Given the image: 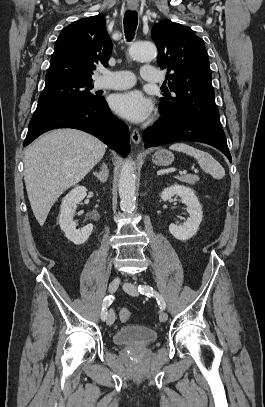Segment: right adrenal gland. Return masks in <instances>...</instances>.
Wrapping results in <instances>:
<instances>
[{
	"instance_id": "right-adrenal-gland-1",
	"label": "right adrenal gland",
	"mask_w": 265,
	"mask_h": 407,
	"mask_svg": "<svg viewBox=\"0 0 265 407\" xmlns=\"http://www.w3.org/2000/svg\"><path fill=\"white\" fill-rule=\"evenodd\" d=\"M93 175L97 177V179L101 183H105L108 179L109 171L107 168V165L105 163L102 164L101 171L98 172H93Z\"/></svg>"
}]
</instances>
